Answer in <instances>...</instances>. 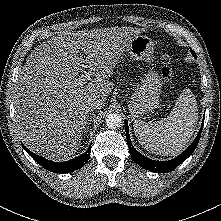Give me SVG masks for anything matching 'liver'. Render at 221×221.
<instances>
[{"mask_svg": "<svg viewBox=\"0 0 221 221\" xmlns=\"http://www.w3.org/2000/svg\"><path fill=\"white\" fill-rule=\"evenodd\" d=\"M139 33L132 27L64 32L31 52L14 99L15 127L31 151L54 161L75 154L89 119L87 102L106 101L114 86L109 77ZM83 63L89 64L86 81L78 77Z\"/></svg>", "mask_w": 221, "mask_h": 221, "instance_id": "liver-1", "label": "liver"}]
</instances>
